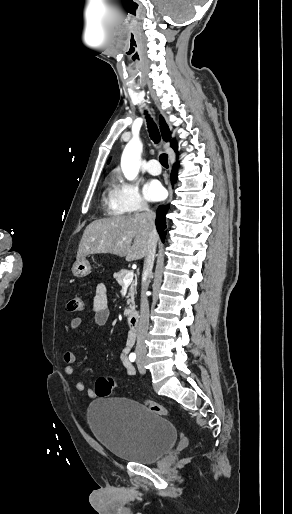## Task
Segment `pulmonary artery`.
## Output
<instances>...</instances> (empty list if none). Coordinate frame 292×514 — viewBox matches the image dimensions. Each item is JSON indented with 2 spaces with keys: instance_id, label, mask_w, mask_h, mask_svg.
Masks as SVG:
<instances>
[{
  "instance_id": "obj_1",
  "label": "pulmonary artery",
  "mask_w": 292,
  "mask_h": 514,
  "mask_svg": "<svg viewBox=\"0 0 292 514\" xmlns=\"http://www.w3.org/2000/svg\"><path fill=\"white\" fill-rule=\"evenodd\" d=\"M147 170L149 171L150 174L152 175H157L159 174V170H160V163H159V159L157 157H151L149 160H148V163H147Z\"/></svg>"
}]
</instances>
